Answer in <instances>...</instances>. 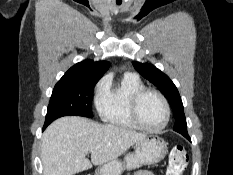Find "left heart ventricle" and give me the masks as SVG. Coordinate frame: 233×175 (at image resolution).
Here are the masks:
<instances>
[{"label": "left heart ventricle", "instance_id": "left-heart-ventricle-1", "mask_svg": "<svg viewBox=\"0 0 233 175\" xmlns=\"http://www.w3.org/2000/svg\"><path fill=\"white\" fill-rule=\"evenodd\" d=\"M139 116L148 127L161 126L165 120V110L160 98L152 93L145 94L139 103Z\"/></svg>", "mask_w": 233, "mask_h": 175}]
</instances>
